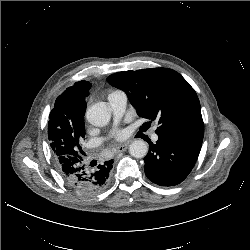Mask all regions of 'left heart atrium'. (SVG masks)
Listing matches in <instances>:
<instances>
[{"label": "left heart atrium", "instance_id": "1", "mask_svg": "<svg viewBox=\"0 0 250 250\" xmlns=\"http://www.w3.org/2000/svg\"><path fill=\"white\" fill-rule=\"evenodd\" d=\"M126 133L123 130H119L118 132H116L115 134V138L116 139H123L125 137Z\"/></svg>", "mask_w": 250, "mask_h": 250}]
</instances>
